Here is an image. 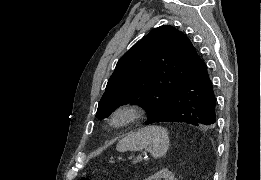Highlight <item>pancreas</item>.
I'll use <instances>...</instances> for the list:
<instances>
[{
  "label": "pancreas",
  "instance_id": "pancreas-1",
  "mask_svg": "<svg viewBox=\"0 0 261 180\" xmlns=\"http://www.w3.org/2000/svg\"><path fill=\"white\" fill-rule=\"evenodd\" d=\"M132 163H133V164H140L141 162H136V159H133V160H132Z\"/></svg>",
  "mask_w": 261,
  "mask_h": 180
}]
</instances>
